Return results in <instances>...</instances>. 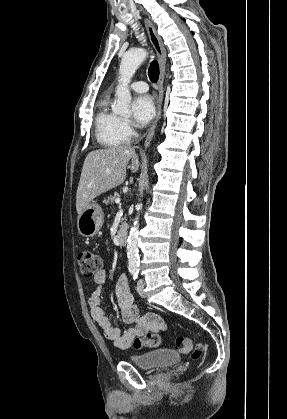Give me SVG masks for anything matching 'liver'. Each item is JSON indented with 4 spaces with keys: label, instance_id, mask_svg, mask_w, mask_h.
Here are the masks:
<instances>
[{
    "label": "liver",
    "instance_id": "6515ba94",
    "mask_svg": "<svg viewBox=\"0 0 287 419\" xmlns=\"http://www.w3.org/2000/svg\"><path fill=\"white\" fill-rule=\"evenodd\" d=\"M129 160L132 161L131 171L137 172L140 163L134 148L108 147L88 153L76 193L78 215L94 198L124 182Z\"/></svg>",
    "mask_w": 287,
    "mask_h": 419
}]
</instances>
